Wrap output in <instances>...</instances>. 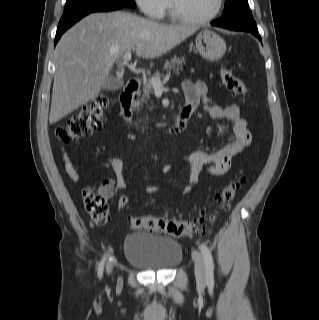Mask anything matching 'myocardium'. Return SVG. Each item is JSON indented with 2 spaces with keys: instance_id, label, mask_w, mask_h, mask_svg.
<instances>
[{
  "instance_id": "f54148a6",
  "label": "myocardium",
  "mask_w": 319,
  "mask_h": 320,
  "mask_svg": "<svg viewBox=\"0 0 319 320\" xmlns=\"http://www.w3.org/2000/svg\"><path fill=\"white\" fill-rule=\"evenodd\" d=\"M224 0H217L215 10L208 16L202 18H193L182 14L175 3V0H169V10L171 17L180 23L187 24H204L213 21L221 12L223 8Z\"/></svg>"
}]
</instances>
